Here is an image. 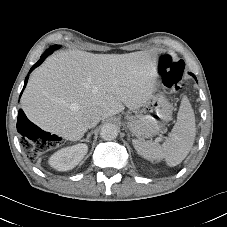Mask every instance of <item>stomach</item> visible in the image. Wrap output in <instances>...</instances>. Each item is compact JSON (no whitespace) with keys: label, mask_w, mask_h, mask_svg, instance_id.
<instances>
[{"label":"stomach","mask_w":227,"mask_h":227,"mask_svg":"<svg viewBox=\"0 0 227 227\" xmlns=\"http://www.w3.org/2000/svg\"><path fill=\"white\" fill-rule=\"evenodd\" d=\"M171 118L170 102L161 93H153L143 108L128 119L126 127L133 136L143 140L162 132Z\"/></svg>","instance_id":"stomach-1"}]
</instances>
